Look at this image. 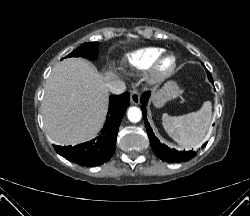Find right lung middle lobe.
<instances>
[{
  "mask_svg": "<svg viewBox=\"0 0 250 216\" xmlns=\"http://www.w3.org/2000/svg\"><path fill=\"white\" fill-rule=\"evenodd\" d=\"M97 49H98L97 42L84 43L66 57L81 56V57H87L89 59H95L97 58Z\"/></svg>",
  "mask_w": 250,
  "mask_h": 216,
  "instance_id": "dd1d6c3e",
  "label": "right lung middle lobe"
}]
</instances>
